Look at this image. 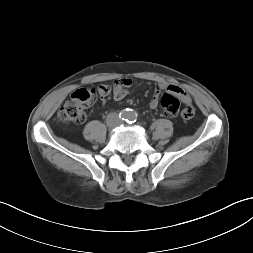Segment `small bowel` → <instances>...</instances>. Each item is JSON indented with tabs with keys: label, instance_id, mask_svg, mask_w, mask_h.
I'll return each instance as SVG.
<instances>
[{
	"label": "small bowel",
	"instance_id": "c3829d8e",
	"mask_svg": "<svg viewBox=\"0 0 253 253\" xmlns=\"http://www.w3.org/2000/svg\"><path fill=\"white\" fill-rule=\"evenodd\" d=\"M133 81L130 78H120L114 81L111 89L108 85H101L98 90L102 97L108 96L111 92L115 101L123 100L127 95V88L132 85ZM171 92L177 95L184 105L180 108V116L184 120H192L196 116V109L191 105V98L188 93L171 83L159 82L157 83L152 98L149 102L151 109H156L159 105V98L162 92Z\"/></svg>",
	"mask_w": 253,
	"mask_h": 253
}]
</instances>
